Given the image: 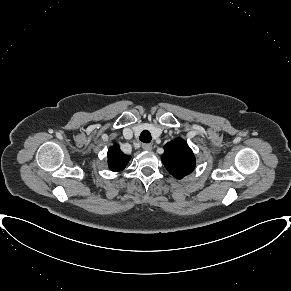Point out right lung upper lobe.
I'll use <instances>...</instances> for the list:
<instances>
[{"label": "right lung upper lobe", "mask_w": 291, "mask_h": 291, "mask_svg": "<svg viewBox=\"0 0 291 291\" xmlns=\"http://www.w3.org/2000/svg\"><path fill=\"white\" fill-rule=\"evenodd\" d=\"M107 157L108 166L114 172L122 171L130 160V156L123 154L118 144L109 148Z\"/></svg>", "instance_id": "cb5924a9"}]
</instances>
